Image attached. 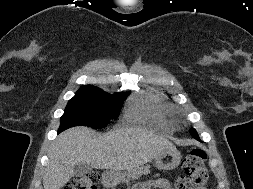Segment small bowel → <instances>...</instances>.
I'll use <instances>...</instances> for the list:
<instances>
[{
  "mask_svg": "<svg viewBox=\"0 0 253 189\" xmlns=\"http://www.w3.org/2000/svg\"><path fill=\"white\" fill-rule=\"evenodd\" d=\"M170 189L169 183L166 180L158 179L152 183H141L133 187V189Z\"/></svg>",
  "mask_w": 253,
  "mask_h": 189,
  "instance_id": "c3829d8e",
  "label": "small bowel"
}]
</instances>
